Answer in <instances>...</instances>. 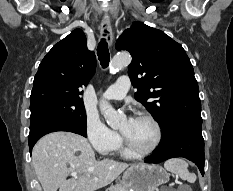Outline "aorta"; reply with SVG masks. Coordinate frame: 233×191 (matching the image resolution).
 Instances as JSON below:
<instances>
[{
    "instance_id": "1",
    "label": "aorta",
    "mask_w": 233,
    "mask_h": 191,
    "mask_svg": "<svg viewBox=\"0 0 233 191\" xmlns=\"http://www.w3.org/2000/svg\"><path fill=\"white\" fill-rule=\"evenodd\" d=\"M130 62H131V55L127 52H120L117 55H115L113 60L111 61L110 70L111 71L119 70L123 67L128 66ZM99 107L107 123L114 129L118 128L120 125V121L124 118V116L118 114L115 111V109L107 102L102 101Z\"/></svg>"
}]
</instances>
